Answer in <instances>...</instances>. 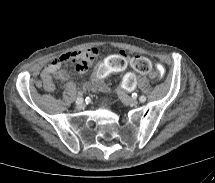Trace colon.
I'll return each mask as SVG.
<instances>
[{
	"label": "colon",
	"mask_w": 215,
	"mask_h": 183,
	"mask_svg": "<svg viewBox=\"0 0 215 183\" xmlns=\"http://www.w3.org/2000/svg\"><path fill=\"white\" fill-rule=\"evenodd\" d=\"M61 67L63 66H74L75 68L86 64V59L83 57H75L70 54L62 55L59 59ZM101 76H105L99 72ZM153 79L156 82L163 83L169 79L170 73L167 69V65L163 61H158L154 65V70L152 73ZM135 79L132 76L127 77V84L134 85Z\"/></svg>",
	"instance_id": "obj_1"
}]
</instances>
